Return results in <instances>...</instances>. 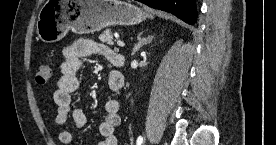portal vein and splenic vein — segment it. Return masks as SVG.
Segmentation results:
<instances>
[{
	"label": "portal vein and splenic vein",
	"instance_id": "1",
	"mask_svg": "<svg viewBox=\"0 0 276 145\" xmlns=\"http://www.w3.org/2000/svg\"><path fill=\"white\" fill-rule=\"evenodd\" d=\"M117 45L120 46V47H124L125 46V43L121 40H118L117 41Z\"/></svg>",
	"mask_w": 276,
	"mask_h": 145
}]
</instances>
